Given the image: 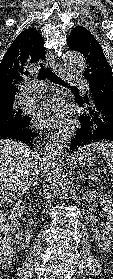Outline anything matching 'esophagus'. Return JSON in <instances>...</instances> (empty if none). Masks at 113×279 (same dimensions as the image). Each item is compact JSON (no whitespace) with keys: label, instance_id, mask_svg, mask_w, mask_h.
Listing matches in <instances>:
<instances>
[{"label":"esophagus","instance_id":"1","mask_svg":"<svg viewBox=\"0 0 113 279\" xmlns=\"http://www.w3.org/2000/svg\"><path fill=\"white\" fill-rule=\"evenodd\" d=\"M46 56H47V59H48V61H49V65H50L52 71H53L54 73H56V74H59V75L62 74V73L64 72V69H63V67H62L61 64H59L58 62H56L53 53H52L51 51H48L47 54H46ZM73 123H76V119L67 118V119H65V120L62 122V124H63L64 126H66V125H71V124H73Z\"/></svg>","mask_w":113,"mask_h":279}]
</instances>
